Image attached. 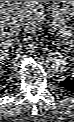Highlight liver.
Returning a JSON list of instances; mask_svg holds the SVG:
<instances>
[{"instance_id":"liver-1","label":"liver","mask_w":74,"mask_h":122,"mask_svg":"<svg viewBox=\"0 0 74 122\" xmlns=\"http://www.w3.org/2000/svg\"><path fill=\"white\" fill-rule=\"evenodd\" d=\"M48 1H0V55L6 56L8 48L18 42V23L22 31L33 33L44 21V6Z\"/></svg>"}]
</instances>
